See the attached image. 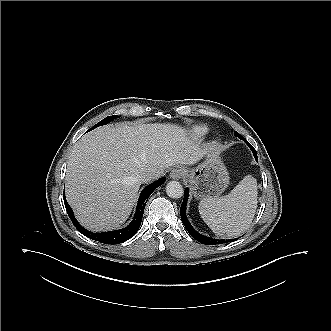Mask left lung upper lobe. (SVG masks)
Masks as SVG:
<instances>
[{"mask_svg":"<svg viewBox=\"0 0 331 331\" xmlns=\"http://www.w3.org/2000/svg\"><path fill=\"white\" fill-rule=\"evenodd\" d=\"M234 134H236V131L234 132ZM251 149V148H250ZM253 152V151H252ZM254 154V153H253ZM257 154V153H256ZM255 156V155H254ZM255 159L257 160V156L255 157Z\"/></svg>","mask_w":331,"mask_h":331,"instance_id":"obj_1","label":"left lung upper lobe"}]
</instances>
